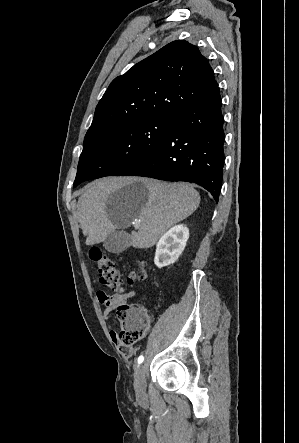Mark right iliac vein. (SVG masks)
Wrapping results in <instances>:
<instances>
[{
  "label": "right iliac vein",
  "instance_id": "obj_1",
  "mask_svg": "<svg viewBox=\"0 0 299 443\" xmlns=\"http://www.w3.org/2000/svg\"><path fill=\"white\" fill-rule=\"evenodd\" d=\"M134 388L137 398L139 400H144L146 396L144 365H140L136 370Z\"/></svg>",
  "mask_w": 299,
  "mask_h": 443
}]
</instances>
